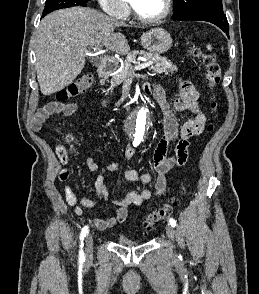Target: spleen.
Here are the masks:
<instances>
[{
  "instance_id": "spleen-1",
  "label": "spleen",
  "mask_w": 259,
  "mask_h": 294,
  "mask_svg": "<svg viewBox=\"0 0 259 294\" xmlns=\"http://www.w3.org/2000/svg\"><path fill=\"white\" fill-rule=\"evenodd\" d=\"M207 49L211 50L212 49L211 45H207Z\"/></svg>"
}]
</instances>
